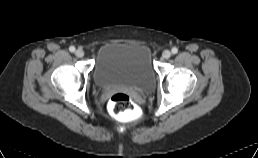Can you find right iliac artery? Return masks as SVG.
Here are the masks:
<instances>
[{
	"instance_id": "obj_1",
	"label": "right iliac artery",
	"mask_w": 258,
	"mask_h": 158,
	"mask_svg": "<svg viewBox=\"0 0 258 158\" xmlns=\"http://www.w3.org/2000/svg\"><path fill=\"white\" fill-rule=\"evenodd\" d=\"M69 51H70V52H74V51H75V47H74V46H70V47H69Z\"/></svg>"
}]
</instances>
